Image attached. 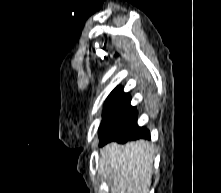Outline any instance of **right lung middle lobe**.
<instances>
[{
  "instance_id": "right-lung-middle-lobe-1",
  "label": "right lung middle lobe",
  "mask_w": 221,
  "mask_h": 193,
  "mask_svg": "<svg viewBox=\"0 0 221 193\" xmlns=\"http://www.w3.org/2000/svg\"><path fill=\"white\" fill-rule=\"evenodd\" d=\"M137 111L130 103L109 107L103 111V119L98 134L100 146L118 139L137 128Z\"/></svg>"
}]
</instances>
